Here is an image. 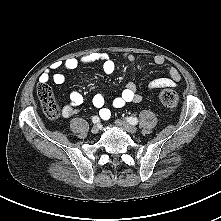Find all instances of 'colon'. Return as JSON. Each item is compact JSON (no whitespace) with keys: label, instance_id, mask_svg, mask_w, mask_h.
<instances>
[{"label":"colon","instance_id":"obj_1","mask_svg":"<svg viewBox=\"0 0 221 221\" xmlns=\"http://www.w3.org/2000/svg\"><path fill=\"white\" fill-rule=\"evenodd\" d=\"M37 96L42 104L45 114L49 118H57L59 115V106L57 105L50 88L45 83H40L37 87ZM158 97L161 104L169 109L175 108L178 104L177 93L169 87L161 88Z\"/></svg>","mask_w":221,"mask_h":221}]
</instances>
